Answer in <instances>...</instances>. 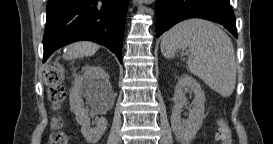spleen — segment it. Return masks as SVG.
<instances>
[{
    "label": "spleen",
    "instance_id": "spleen-1",
    "mask_svg": "<svg viewBox=\"0 0 273 144\" xmlns=\"http://www.w3.org/2000/svg\"><path fill=\"white\" fill-rule=\"evenodd\" d=\"M187 47L192 54L187 61L190 72L223 97L230 96L236 84V61L229 36L203 19L183 21L163 35L161 51L166 58Z\"/></svg>",
    "mask_w": 273,
    "mask_h": 144
}]
</instances>
